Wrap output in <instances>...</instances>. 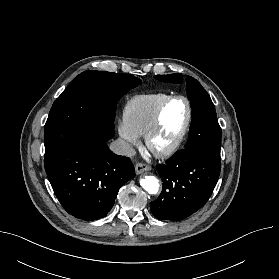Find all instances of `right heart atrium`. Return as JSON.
I'll return each instance as SVG.
<instances>
[{
    "mask_svg": "<svg viewBox=\"0 0 279 279\" xmlns=\"http://www.w3.org/2000/svg\"><path fill=\"white\" fill-rule=\"evenodd\" d=\"M118 134L121 139L123 150L126 154L131 153L133 147L138 145L140 135H138L125 121L121 120L118 124Z\"/></svg>",
    "mask_w": 279,
    "mask_h": 279,
    "instance_id": "obj_1",
    "label": "right heart atrium"
}]
</instances>
